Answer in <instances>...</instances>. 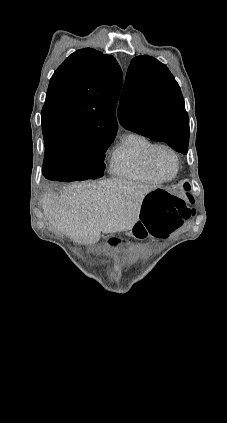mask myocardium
I'll return each instance as SVG.
<instances>
[{
  "label": "myocardium",
  "instance_id": "1",
  "mask_svg": "<svg viewBox=\"0 0 227 423\" xmlns=\"http://www.w3.org/2000/svg\"><path fill=\"white\" fill-rule=\"evenodd\" d=\"M159 149H163V150H166V151H168L171 155H172V157L174 158V160H175V164H176V170H175V173H174V175L172 176V177H170V178H164V177H162L159 173H158V171L156 170V168H155V166H154V163H153V156H154V154L156 153V151L157 150H159ZM146 166H147V168L149 169V171L157 178V179H159L161 182H170V181H172V180H174L176 177H177V175L179 174V171H180V158H179V155H178V153H177V151L173 148V147H171V146H169V145H166V144H154L149 150H148V152H147V154H146Z\"/></svg>",
  "mask_w": 227,
  "mask_h": 423
}]
</instances>
